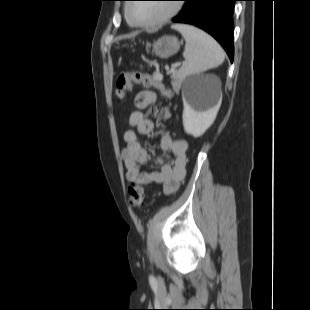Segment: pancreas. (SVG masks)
I'll list each match as a JSON object with an SVG mask.
<instances>
[{"instance_id": "cf45deb5", "label": "pancreas", "mask_w": 310, "mask_h": 310, "mask_svg": "<svg viewBox=\"0 0 310 310\" xmlns=\"http://www.w3.org/2000/svg\"><path fill=\"white\" fill-rule=\"evenodd\" d=\"M171 78L173 79L172 87L177 92L181 87L182 77L177 75V73L175 71H172Z\"/></svg>"}]
</instances>
